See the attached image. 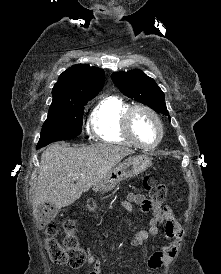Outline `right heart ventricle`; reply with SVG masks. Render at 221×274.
Returning <instances> with one entry per match:
<instances>
[{"label":"right heart ventricle","mask_w":221,"mask_h":274,"mask_svg":"<svg viewBox=\"0 0 221 274\" xmlns=\"http://www.w3.org/2000/svg\"><path fill=\"white\" fill-rule=\"evenodd\" d=\"M131 103L119 95L101 97L90 115L94 135L101 141L133 146L123 128V118Z\"/></svg>","instance_id":"right-heart-ventricle-1"}]
</instances>
